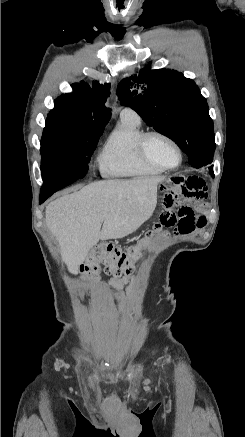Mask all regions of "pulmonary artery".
<instances>
[{
	"label": "pulmonary artery",
	"instance_id": "e3ab8cb5",
	"mask_svg": "<svg viewBox=\"0 0 245 437\" xmlns=\"http://www.w3.org/2000/svg\"><path fill=\"white\" fill-rule=\"evenodd\" d=\"M121 116L138 118V115L130 108H125L121 112Z\"/></svg>",
	"mask_w": 245,
	"mask_h": 437
}]
</instances>
